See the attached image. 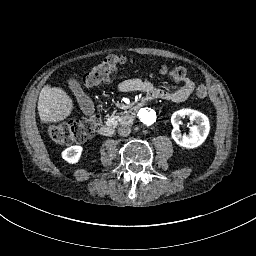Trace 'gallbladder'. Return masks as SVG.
I'll return each instance as SVG.
<instances>
[{
  "label": "gallbladder",
  "mask_w": 256,
  "mask_h": 256,
  "mask_svg": "<svg viewBox=\"0 0 256 256\" xmlns=\"http://www.w3.org/2000/svg\"><path fill=\"white\" fill-rule=\"evenodd\" d=\"M68 85L71 91L74 93L77 102L85 115H91L94 113L93 101L83 92L80 83L73 77L68 80Z\"/></svg>",
  "instance_id": "obj_1"
}]
</instances>
